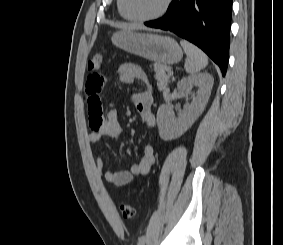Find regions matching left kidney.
Masks as SVG:
<instances>
[{"instance_id": "obj_1", "label": "left kidney", "mask_w": 283, "mask_h": 245, "mask_svg": "<svg viewBox=\"0 0 283 245\" xmlns=\"http://www.w3.org/2000/svg\"><path fill=\"white\" fill-rule=\"evenodd\" d=\"M214 79L209 73H200L183 78L177 84L181 97H188L193 86L198 87L190 104H185L178 118L171 105H161L157 112V124L161 139L169 141L181 136L204 111L213 87Z\"/></svg>"}]
</instances>
